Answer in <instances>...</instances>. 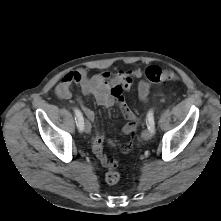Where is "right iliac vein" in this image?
<instances>
[{
  "mask_svg": "<svg viewBox=\"0 0 221 221\" xmlns=\"http://www.w3.org/2000/svg\"><path fill=\"white\" fill-rule=\"evenodd\" d=\"M84 131L86 132V133H90L91 132V124H90V122L89 121H85V123H84Z\"/></svg>",
  "mask_w": 221,
  "mask_h": 221,
  "instance_id": "63e3f726",
  "label": "right iliac vein"
}]
</instances>
